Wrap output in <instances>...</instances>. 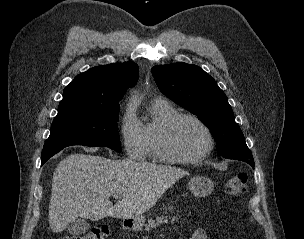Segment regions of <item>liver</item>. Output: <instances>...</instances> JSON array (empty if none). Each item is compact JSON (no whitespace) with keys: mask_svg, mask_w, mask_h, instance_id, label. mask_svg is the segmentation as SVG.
Returning <instances> with one entry per match:
<instances>
[{"mask_svg":"<svg viewBox=\"0 0 304 239\" xmlns=\"http://www.w3.org/2000/svg\"><path fill=\"white\" fill-rule=\"evenodd\" d=\"M188 174L167 165L71 154L53 174L50 228L61 232L77 218L96 221L107 216L140 217L171 185ZM114 194H121V199L113 206L109 198Z\"/></svg>","mask_w":304,"mask_h":239,"instance_id":"1","label":"liver"}]
</instances>
